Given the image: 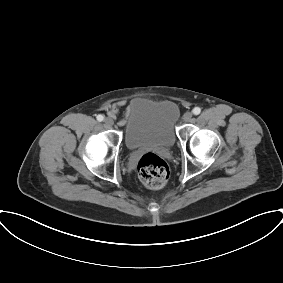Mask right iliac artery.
I'll return each instance as SVG.
<instances>
[{
  "label": "right iliac artery",
  "mask_w": 283,
  "mask_h": 283,
  "mask_svg": "<svg viewBox=\"0 0 283 283\" xmlns=\"http://www.w3.org/2000/svg\"><path fill=\"white\" fill-rule=\"evenodd\" d=\"M96 118L99 122L103 121L104 119L103 115H98Z\"/></svg>",
  "instance_id": "82829eb1"
}]
</instances>
